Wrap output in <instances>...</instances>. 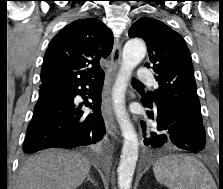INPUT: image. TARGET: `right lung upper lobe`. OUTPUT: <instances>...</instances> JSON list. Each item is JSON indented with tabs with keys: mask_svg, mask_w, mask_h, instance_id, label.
I'll return each mask as SVG.
<instances>
[{
	"mask_svg": "<svg viewBox=\"0 0 223 189\" xmlns=\"http://www.w3.org/2000/svg\"><path fill=\"white\" fill-rule=\"evenodd\" d=\"M112 47V32L100 20L73 21L51 40L45 52L40 89L95 81L103 75L99 60L106 58Z\"/></svg>",
	"mask_w": 223,
	"mask_h": 189,
	"instance_id": "right-lung-upper-lobe-1",
	"label": "right lung upper lobe"
}]
</instances>
